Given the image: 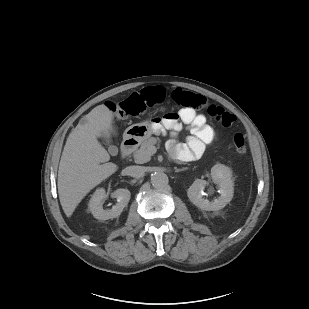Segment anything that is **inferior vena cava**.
<instances>
[{"label":"inferior vena cava","mask_w":309,"mask_h":309,"mask_svg":"<svg viewBox=\"0 0 309 309\" xmlns=\"http://www.w3.org/2000/svg\"><path fill=\"white\" fill-rule=\"evenodd\" d=\"M125 171V174L126 175H129V176H132V177H136V178H139L141 177L143 174H144V167L142 166H129V167H126L124 169Z\"/></svg>","instance_id":"602c4592"}]
</instances>
